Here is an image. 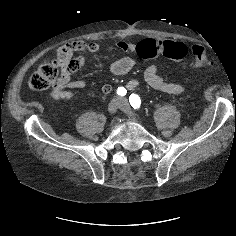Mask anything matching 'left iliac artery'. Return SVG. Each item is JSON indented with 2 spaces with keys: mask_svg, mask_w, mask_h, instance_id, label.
Segmentation results:
<instances>
[{
  "mask_svg": "<svg viewBox=\"0 0 236 236\" xmlns=\"http://www.w3.org/2000/svg\"><path fill=\"white\" fill-rule=\"evenodd\" d=\"M129 102L134 109H139L141 105V99L137 94H131L129 96Z\"/></svg>",
  "mask_w": 236,
  "mask_h": 236,
  "instance_id": "left-iliac-artery-1",
  "label": "left iliac artery"
}]
</instances>
